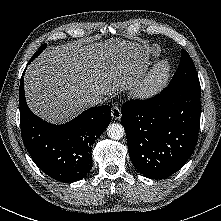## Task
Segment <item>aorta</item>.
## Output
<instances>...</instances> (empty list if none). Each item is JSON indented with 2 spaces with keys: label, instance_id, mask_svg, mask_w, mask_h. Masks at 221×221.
<instances>
[{
  "label": "aorta",
  "instance_id": "762f6f07",
  "mask_svg": "<svg viewBox=\"0 0 221 221\" xmlns=\"http://www.w3.org/2000/svg\"><path fill=\"white\" fill-rule=\"evenodd\" d=\"M124 134L125 131L121 124L112 123L107 127V135L113 140L122 139Z\"/></svg>",
  "mask_w": 221,
  "mask_h": 221
}]
</instances>
